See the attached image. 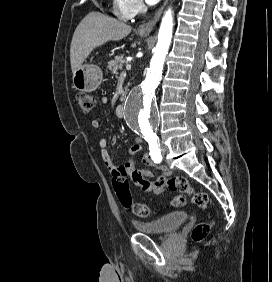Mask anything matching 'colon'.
Returning a JSON list of instances; mask_svg holds the SVG:
<instances>
[{
  "instance_id": "obj_1",
  "label": "colon",
  "mask_w": 272,
  "mask_h": 282,
  "mask_svg": "<svg viewBox=\"0 0 272 282\" xmlns=\"http://www.w3.org/2000/svg\"><path fill=\"white\" fill-rule=\"evenodd\" d=\"M76 102L81 111L85 113L91 112L96 106L95 97L84 92H80L76 95ZM128 175L129 170L127 167H119L118 170L115 171L113 178L114 190L122 206L131 209L135 215L140 217H147L153 212H156L155 209H151L146 204L134 202L129 186ZM130 178L134 185L138 187L146 186L150 180L137 171L132 172ZM155 181L164 184L171 191L180 193L172 199L171 203L173 206H183L185 204L183 194H187L197 207L202 209L209 207L210 200L207 193L195 190L185 177L175 176L170 179L156 178ZM213 224L212 220L198 223L191 232L192 240L195 243L203 241L210 233Z\"/></svg>"
}]
</instances>
